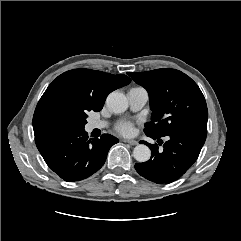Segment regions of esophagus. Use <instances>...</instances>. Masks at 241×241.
<instances>
[{
    "label": "esophagus",
    "instance_id": "esophagus-1",
    "mask_svg": "<svg viewBox=\"0 0 241 241\" xmlns=\"http://www.w3.org/2000/svg\"><path fill=\"white\" fill-rule=\"evenodd\" d=\"M124 142H125V143H127V144H129V145H132V146H134V145H137V144H138V142H137V141H135V140H124Z\"/></svg>",
    "mask_w": 241,
    "mask_h": 241
}]
</instances>
